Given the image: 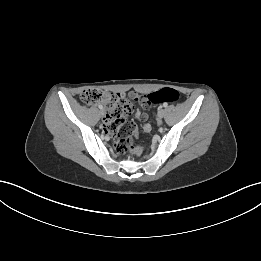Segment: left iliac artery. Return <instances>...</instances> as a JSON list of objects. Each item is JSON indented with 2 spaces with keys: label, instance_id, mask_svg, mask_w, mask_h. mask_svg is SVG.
<instances>
[{
  "label": "left iliac artery",
  "instance_id": "obj_1",
  "mask_svg": "<svg viewBox=\"0 0 261 261\" xmlns=\"http://www.w3.org/2000/svg\"><path fill=\"white\" fill-rule=\"evenodd\" d=\"M167 105H168V104H167L166 102L163 103V107H167Z\"/></svg>",
  "mask_w": 261,
  "mask_h": 261
}]
</instances>
